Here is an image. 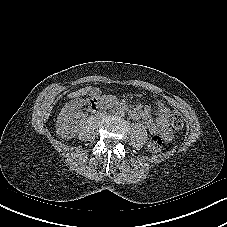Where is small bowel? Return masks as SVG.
<instances>
[{
    "label": "small bowel",
    "instance_id": "obj_1",
    "mask_svg": "<svg viewBox=\"0 0 227 227\" xmlns=\"http://www.w3.org/2000/svg\"><path fill=\"white\" fill-rule=\"evenodd\" d=\"M156 106L158 110L156 120H153L148 106L143 110H136L138 117L133 119H142L151 134L160 135L165 141H170L173 136L170 128L171 111L163 101H157Z\"/></svg>",
    "mask_w": 227,
    "mask_h": 227
}]
</instances>
